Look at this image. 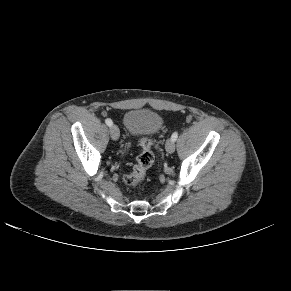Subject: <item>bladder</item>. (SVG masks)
I'll use <instances>...</instances> for the list:
<instances>
[{"label":"bladder","mask_w":291,"mask_h":291,"mask_svg":"<svg viewBox=\"0 0 291 291\" xmlns=\"http://www.w3.org/2000/svg\"><path fill=\"white\" fill-rule=\"evenodd\" d=\"M161 116L148 109H134L124 115V126L132 137L155 134L162 126Z\"/></svg>","instance_id":"31cf9c89"}]
</instances>
